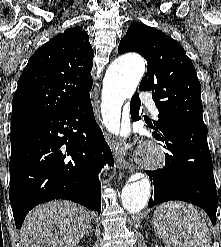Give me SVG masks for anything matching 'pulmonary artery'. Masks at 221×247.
<instances>
[{
    "instance_id": "pulmonary-artery-1",
    "label": "pulmonary artery",
    "mask_w": 221,
    "mask_h": 247,
    "mask_svg": "<svg viewBox=\"0 0 221 247\" xmlns=\"http://www.w3.org/2000/svg\"><path fill=\"white\" fill-rule=\"evenodd\" d=\"M140 98L143 102H145L148 106H150L152 108V113L154 115H158V110L156 109V107L152 101L151 95L149 93L142 92L140 94Z\"/></svg>"
}]
</instances>
